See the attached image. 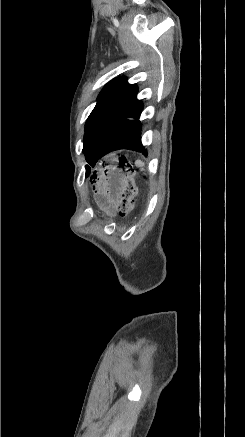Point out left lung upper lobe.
<instances>
[{
    "label": "left lung upper lobe",
    "mask_w": 245,
    "mask_h": 437,
    "mask_svg": "<svg viewBox=\"0 0 245 437\" xmlns=\"http://www.w3.org/2000/svg\"><path fill=\"white\" fill-rule=\"evenodd\" d=\"M137 91L135 84H129L126 78L119 77L100 92L97 104L86 121L83 139V152L91 166H95L106 138L136 99ZM86 172L89 174L90 169L87 168Z\"/></svg>",
    "instance_id": "1"
}]
</instances>
